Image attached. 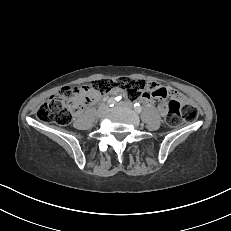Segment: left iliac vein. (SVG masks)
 <instances>
[{"mask_svg": "<svg viewBox=\"0 0 231 231\" xmlns=\"http://www.w3.org/2000/svg\"><path fill=\"white\" fill-rule=\"evenodd\" d=\"M118 105L121 107L129 108V109L133 108V104L130 101L121 102Z\"/></svg>", "mask_w": 231, "mask_h": 231, "instance_id": "obj_1", "label": "left iliac vein"}]
</instances>
